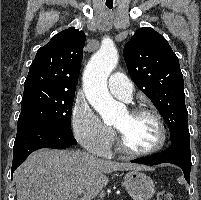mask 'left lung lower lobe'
<instances>
[{"mask_svg":"<svg viewBox=\"0 0 201 200\" xmlns=\"http://www.w3.org/2000/svg\"><path fill=\"white\" fill-rule=\"evenodd\" d=\"M132 162L146 165H157L161 163L175 164L183 170L184 177L186 181L190 184V137H181L171 142V145L164 152L158 155L132 160Z\"/></svg>","mask_w":201,"mask_h":200,"instance_id":"left-lung-lower-lobe-1","label":"left lung lower lobe"}]
</instances>
